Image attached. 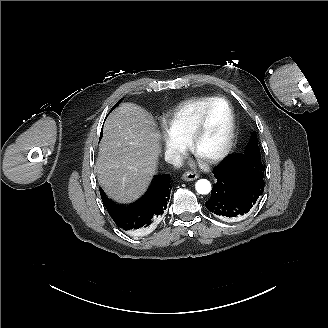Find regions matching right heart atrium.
<instances>
[{"instance_id": "right-heart-atrium-1", "label": "right heart atrium", "mask_w": 328, "mask_h": 328, "mask_svg": "<svg viewBox=\"0 0 328 328\" xmlns=\"http://www.w3.org/2000/svg\"><path fill=\"white\" fill-rule=\"evenodd\" d=\"M148 133L155 142L156 154H163L165 159L173 164L182 159L184 147L168 140L158 125L153 124Z\"/></svg>"}]
</instances>
